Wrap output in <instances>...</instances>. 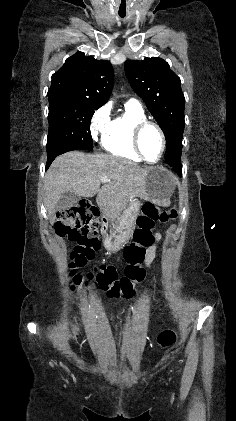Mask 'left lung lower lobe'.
I'll return each mask as SVG.
<instances>
[{
    "instance_id": "obj_1",
    "label": "left lung lower lobe",
    "mask_w": 236,
    "mask_h": 421,
    "mask_svg": "<svg viewBox=\"0 0 236 421\" xmlns=\"http://www.w3.org/2000/svg\"><path fill=\"white\" fill-rule=\"evenodd\" d=\"M170 167L181 177V172H182L181 164L172 165Z\"/></svg>"
}]
</instances>
